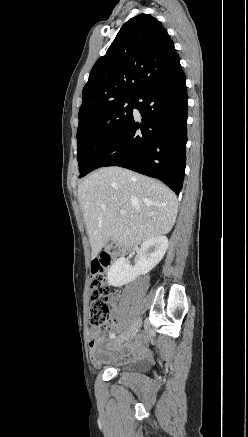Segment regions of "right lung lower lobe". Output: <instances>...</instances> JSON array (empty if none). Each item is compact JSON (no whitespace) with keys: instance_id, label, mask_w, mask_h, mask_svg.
I'll list each match as a JSON object with an SVG mask.
<instances>
[{"instance_id":"right-lung-lower-lobe-1","label":"right lung lower lobe","mask_w":248,"mask_h":437,"mask_svg":"<svg viewBox=\"0 0 248 437\" xmlns=\"http://www.w3.org/2000/svg\"><path fill=\"white\" fill-rule=\"evenodd\" d=\"M176 55L153 80L135 96L134 117L103 151L91 171L120 166L157 178L177 195L182 189L187 142V90L185 75Z\"/></svg>"}]
</instances>
